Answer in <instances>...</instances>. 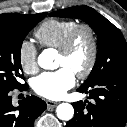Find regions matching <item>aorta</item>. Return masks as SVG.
Wrapping results in <instances>:
<instances>
[{"label": "aorta", "mask_w": 127, "mask_h": 127, "mask_svg": "<svg viewBox=\"0 0 127 127\" xmlns=\"http://www.w3.org/2000/svg\"><path fill=\"white\" fill-rule=\"evenodd\" d=\"M38 64L43 69H52L53 58L48 50H44L38 56ZM56 112H57V117L60 120L68 121L73 118L74 108L69 103H61L60 105H58Z\"/></svg>", "instance_id": "obj_1"}]
</instances>
